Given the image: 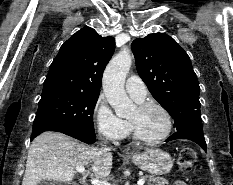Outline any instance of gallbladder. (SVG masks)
Returning a JSON list of instances; mask_svg holds the SVG:
<instances>
[{"mask_svg":"<svg viewBox=\"0 0 233 185\" xmlns=\"http://www.w3.org/2000/svg\"><path fill=\"white\" fill-rule=\"evenodd\" d=\"M37 185H76L75 183H64L60 181H54V180H42Z\"/></svg>","mask_w":233,"mask_h":185,"instance_id":"bac80fb5","label":"gallbladder"}]
</instances>
